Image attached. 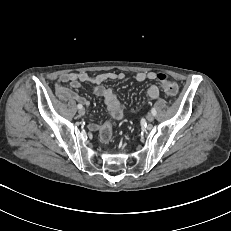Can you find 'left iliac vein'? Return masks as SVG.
<instances>
[{"instance_id": "left-iliac-vein-1", "label": "left iliac vein", "mask_w": 231, "mask_h": 231, "mask_svg": "<svg viewBox=\"0 0 231 231\" xmlns=\"http://www.w3.org/2000/svg\"><path fill=\"white\" fill-rule=\"evenodd\" d=\"M153 120H154V115L153 114H148L147 121L148 122H153Z\"/></svg>"}]
</instances>
